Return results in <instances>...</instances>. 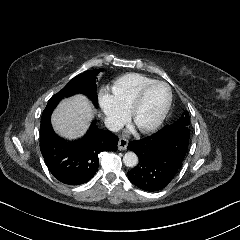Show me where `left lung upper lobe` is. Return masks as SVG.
Listing matches in <instances>:
<instances>
[{
	"label": "left lung upper lobe",
	"instance_id": "1",
	"mask_svg": "<svg viewBox=\"0 0 240 240\" xmlns=\"http://www.w3.org/2000/svg\"><path fill=\"white\" fill-rule=\"evenodd\" d=\"M189 124H190L189 113L188 111H184L181 117L177 121H175L172 125L169 126L184 130L186 132H190Z\"/></svg>",
	"mask_w": 240,
	"mask_h": 240
}]
</instances>
